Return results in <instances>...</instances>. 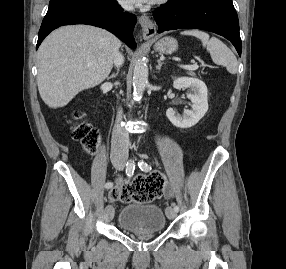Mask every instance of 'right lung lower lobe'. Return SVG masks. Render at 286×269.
<instances>
[{"mask_svg": "<svg viewBox=\"0 0 286 269\" xmlns=\"http://www.w3.org/2000/svg\"><path fill=\"white\" fill-rule=\"evenodd\" d=\"M71 24H89L104 28L129 47L134 49L137 46L133 37L136 24L134 15L124 13L117 2L112 7L105 8L89 0H78L48 9L39 30L36 49L55 28Z\"/></svg>", "mask_w": 286, "mask_h": 269, "instance_id": "right-lung-lower-lobe-1", "label": "right lung lower lobe"}]
</instances>
